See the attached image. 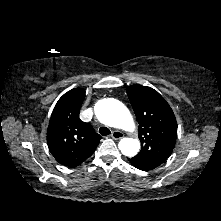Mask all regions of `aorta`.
Segmentation results:
<instances>
[{
    "label": "aorta",
    "instance_id": "obj_1",
    "mask_svg": "<svg viewBox=\"0 0 221 221\" xmlns=\"http://www.w3.org/2000/svg\"><path fill=\"white\" fill-rule=\"evenodd\" d=\"M97 118L103 124L126 131L134 130L135 124L129 110L118 100L103 99L95 106ZM118 147L122 154L128 157L135 156L140 149V142L136 138H123Z\"/></svg>",
    "mask_w": 221,
    "mask_h": 221
}]
</instances>
